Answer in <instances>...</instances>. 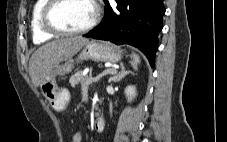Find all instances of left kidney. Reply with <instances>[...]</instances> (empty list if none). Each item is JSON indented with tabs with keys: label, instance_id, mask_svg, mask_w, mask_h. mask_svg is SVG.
I'll return each instance as SVG.
<instances>
[{
	"label": "left kidney",
	"instance_id": "obj_1",
	"mask_svg": "<svg viewBox=\"0 0 227 142\" xmlns=\"http://www.w3.org/2000/svg\"><path fill=\"white\" fill-rule=\"evenodd\" d=\"M125 95L128 101H131L136 96V87L135 86H127L125 88Z\"/></svg>",
	"mask_w": 227,
	"mask_h": 142
}]
</instances>
